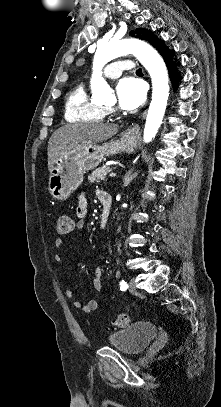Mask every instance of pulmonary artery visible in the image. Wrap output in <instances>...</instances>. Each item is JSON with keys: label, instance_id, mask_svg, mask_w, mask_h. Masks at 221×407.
I'll use <instances>...</instances> for the list:
<instances>
[{"label": "pulmonary artery", "instance_id": "e3ab8cb5", "mask_svg": "<svg viewBox=\"0 0 221 407\" xmlns=\"http://www.w3.org/2000/svg\"><path fill=\"white\" fill-rule=\"evenodd\" d=\"M135 63L128 57H119L114 61H111L105 69L104 74L110 78H116L120 76L123 72H133Z\"/></svg>", "mask_w": 221, "mask_h": 407}]
</instances>
